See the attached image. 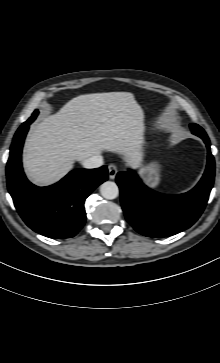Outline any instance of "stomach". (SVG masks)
<instances>
[{"mask_svg":"<svg viewBox=\"0 0 220 363\" xmlns=\"http://www.w3.org/2000/svg\"><path fill=\"white\" fill-rule=\"evenodd\" d=\"M138 174L145 185L155 188L160 181V166L156 162H152L141 167Z\"/></svg>","mask_w":220,"mask_h":363,"instance_id":"obj_1","label":"stomach"}]
</instances>
